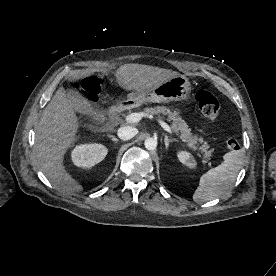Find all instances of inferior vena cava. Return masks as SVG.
Returning <instances> with one entry per match:
<instances>
[{
  "mask_svg": "<svg viewBox=\"0 0 276 276\" xmlns=\"http://www.w3.org/2000/svg\"><path fill=\"white\" fill-rule=\"evenodd\" d=\"M137 133H138V130L136 128L130 127V126H123L118 129L117 134L121 140L126 141L133 138Z\"/></svg>",
  "mask_w": 276,
  "mask_h": 276,
  "instance_id": "1",
  "label": "inferior vena cava"
}]
</instances>
